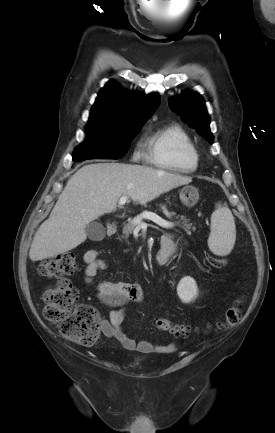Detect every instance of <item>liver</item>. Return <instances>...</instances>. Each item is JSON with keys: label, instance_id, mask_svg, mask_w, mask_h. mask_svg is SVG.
<instances>
[{"label": "liver", "instance_id": "1", "mask_svg": "<svg viewBox=\"0 0 275 433\" xmlns=\"http://www.w3.org/2000/svg\"><path fill=\"white\" fill-rule=\"evenodd\" d=\"M192 182V178L144 165H85L67 182L49 218L37 230L32 261L64 254L86 240V226L116 210L122 196L145 205L161 194Z\"/></svg>", "mask_w": 275, "mask_h": 433}]
</instances>
